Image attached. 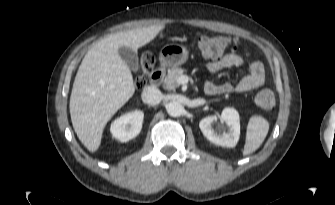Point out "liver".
Masks as SVG:
<instances>
[{"label": "liver", "instance_id": "6515ba94", "mask_svg": "<svg viewBox=\"0 0 335 205\" xmlns=\"http://www.w3.org/2000/svg\"><path fill=\"white\" fill-rule=\"evenodd\" d=\"M163 25L118 32L92 46L77 71L70 96L73 128L90 151L101 143L105 125L133 96V76L118 53L121 46L138 48L151 42Z\"/></svg>", "mask_w": 335, "mask_h": 205}]
</instances>
